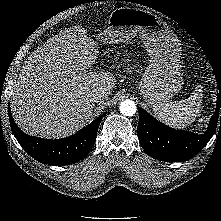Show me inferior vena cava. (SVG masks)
Segmentation results:
<instances>
[{"label":"inferior vena cava","mask_w":221,"mask_h":221,"mask_svg":"<svg viewBox=\"0 0 221 221\" xmlns=\"http://www.w3.org/2000/svg\"><path fill=\"white\" fill-rule=\"evenodd\" d=\"M106 97H107V94L103 90H98L91 94V100L95 103H98L104 100Z\"/></svg>","instance_id":"1"}]
</instances>
